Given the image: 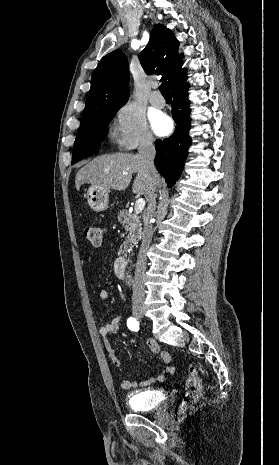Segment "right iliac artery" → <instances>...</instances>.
<instances>
[{"label":"right iliac artery","instance_id":"82829eb1","mask_svg":"<svg viewBox=\"0 0 279 465\" xmlns=\"http://www.w3.org/2000/svg\"><path fill=\"white\" fill-rule=\"evenodd\" d=\"M127 326L132 331H138L139 330V322L134 317H130L127 320Z\"/></svg>","mask_w":279,"mask_h":465}]
</instances>
